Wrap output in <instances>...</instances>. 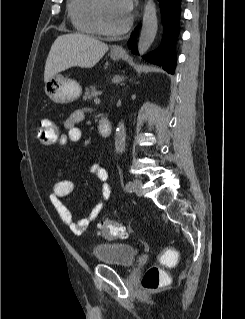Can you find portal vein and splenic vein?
<instances>
[{"instance_id": "portal-vein-and-splenic-vein-1", "label": "portal vein and splenic vein", "mask_w": 245, "mask_h": 319, "mask_svg": "<svg viewBox=\"0 0 245 319\" xmlns=\"http://www.w3.org/2000/svg\"><path fill=\"white\" fill-rule=\"evenodd\" d=\"M94 101H95V103H99L100 99L96 97Z\"/></svg>"}]
</instances>
